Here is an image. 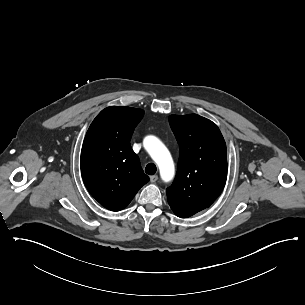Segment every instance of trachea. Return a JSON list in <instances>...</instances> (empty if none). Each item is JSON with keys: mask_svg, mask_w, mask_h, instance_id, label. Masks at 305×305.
<instances>
[{"mask_svg": "<svg viewBox=\"0 0 305 305\" xmlns=\"http://www.w3.org/2000/svg\"><path fill=\"white\" fill-rule=\"evenodd\" d=\"M156 170V165L153 163H149L145 168V173H147L148 175H154L156 173Z\"/></svg>", "mask_w": 305, "mask_h": 305, "instance_id": "trachea-1", "label": "trachea"}]
</instances>
